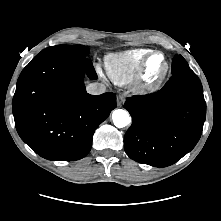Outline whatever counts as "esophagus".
<instances>
[{"mask_svg":"<svg viewBox=\"0 0 221 221\" xmlns=\"http://www.w3.org/2000/svg\"><path fill=\"white\" fill-rule=\"evenodd\" d=\"M125 102V98L122 95L117 96V106L122 107Z\"/></svg>","mask_w":221,"mask_h":221,"instance_id":"34e87169","label":"esophagus"}]
</instances>
